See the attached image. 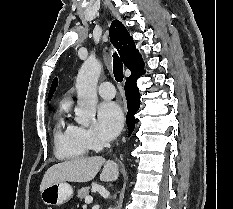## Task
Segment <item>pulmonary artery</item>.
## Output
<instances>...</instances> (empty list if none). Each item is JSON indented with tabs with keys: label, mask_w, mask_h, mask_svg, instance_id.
<instances>
[{
	"label": "pulmonary artery",
	"mask_w": 233,
	"mask_h": 209,
	"mask_svg": "<svg viewBox=\"0 0 233 209\" xmlns=\"http://www.w3.org/2000/svg\"><path fill=\"white\" fill-rule=\"evenodd\" d=\"M98 93L100 96L106 99H111L115 96V88L113 84L109 81H105L99 84L98 86Z\"/></svg>",
	"instance_id": "e3ab8cb5"
}]
</instances>
